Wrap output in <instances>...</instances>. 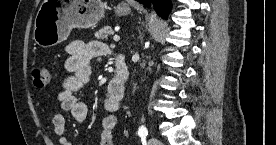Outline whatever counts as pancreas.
<instances>
[{
  "label": "pancreas",
  "mask_w": 276,
  "mask_h": 145,
  "mask_svg": "<svg viewBox=\"0 0 276 145\" xmlns=\"http://www.w3.org/2000/svg\"><path fill=\"white\" fill-rule=\"evenodd\" d=\"M112 33H113L112 28L110 26H105L95 33V37L97 39L107 40L108 36L111 35Z\"/></svg>",
  "instance_id": "obj_1"
}]
</instances>
